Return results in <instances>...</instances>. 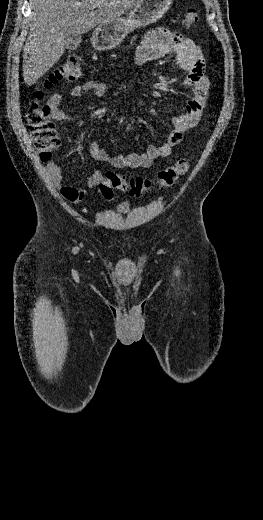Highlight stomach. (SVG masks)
I'll use <instances>...</instances> for the list:
<instances>
[{"label": "stomach", "instance_id": "0dacf381", "mask_svg": "<svg viewBox=\"0 0 263 520\" xmlns=\"http://www.w3.org/2000/svg\"><path fill=\"white\" fill-rule=\"evenodd\" d=\"M173 0H140L127 17L102 23L92 33V44L99 51L118 46L133 30L155 23L169 10Z\"/></svg>", "mask_w": 263, "mask_h": 520}]
</instances>
